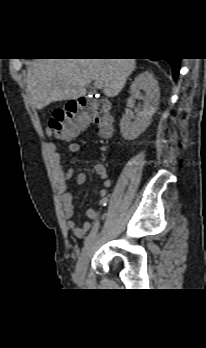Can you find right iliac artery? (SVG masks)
Wrapping results in <instances>:
<instances>
[{
  "mask_svg": "<svg viewBox=\"0 0 206 348\" xmlns=\"http://www.w3.org/2000/svg\"><path fill=\"white\" fill-rule=\"evenodd\" d=\"M109 203H110V200L108 198L100 199L101 207H106V205H108ZM99 214H102V211H99ZM99 219H101V216H98V218H96V221H99ZM98 228H99V223L97 222L93 226L88 236L85 238L84 245H87V243L91 240V238L95 236L96 232L98 231Z\"/></svg>",
  "mask_w": 206,
  "mask_h": 348,
  "instance_id": "obj_1",
  "label": "right iliac artery"
}]
</instances>
